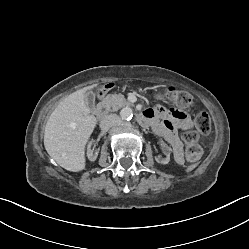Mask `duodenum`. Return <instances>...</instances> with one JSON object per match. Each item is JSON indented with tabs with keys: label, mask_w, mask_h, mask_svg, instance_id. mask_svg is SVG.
Returning a JSON list of instances; mask_svg holds the SVG:
<instances>
[{
	"label": "duodenum",
	"mask_w": 249,
	"mask_h": 249,
	"mask_svg": "<svg viewBox=\"0 0 249 249\" xmlns=\"http://www.w3.org/2000/svg\"><path fill=\"white\" fill-rule=\"evenodd\" d=\"M107 114V103L105 100H102L96 110H95V115L97 118H103ZM139 123L144 126H149L150 122L148 119L144 117V115L139 116Z\"/></svg>",
	"instance_id": "410a0bca"
}]
</instances>
